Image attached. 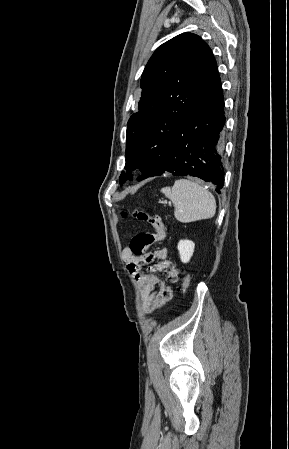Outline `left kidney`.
<instances>
[{
  "instance_id": "left-kidney-1",
  "label": "left kidney",
  "mask_w": 289,
  "mask_h": 449,
  "mask_svg": "<svg viewBox=\"0 0 289 449\" xmlns=\"http://www.w3.org/2000/svg\"><path fill=\"white\" fill-rule=\"evenodd\" d=\"M180 259L183 263H188L193 255L195 244L191 240H180L178 243Z\"/></svg>"
}]
</instances>
